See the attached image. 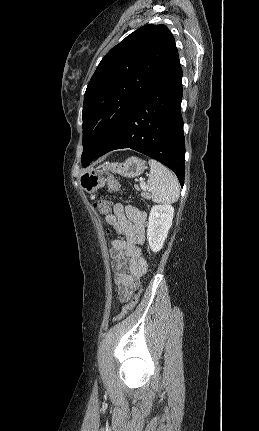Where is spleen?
<instances>
[{
  "instance_id": "spleen-1",
  "label": "spleen",
  "mask_w": 259,
  "mask_h": 431,
  "mask_svg": "<svg viewBox=\"0 0 259 431\" xmlns=\"http://www.w3.org/2000/svg\"><path fill=\"white\" fill-rule=\"evenodd\" d=\"M148 187L156 203L172 204L179 199L180 187L176 176L160 162L149 159Z\"/></svg>"
}]
</instances>
